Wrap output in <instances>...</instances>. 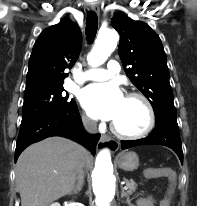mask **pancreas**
<instances>
[{
    "mask_svg": "<svg viewBox=\"0 0 197 206\" xmlns=\"http://www.w3.org/2000/svg\"><path fill=\"white\" fill-rule=\"evenodd\" d=\"M126 182V186H127V194L131 195L133 194L136 189H137V184L133 181V180H124Z\"/></svg>",
    "mask_w": 197,
    "mask_h": 206,
    "instance_id": "1",
    "label": "pancreas"
}]
</instances>
